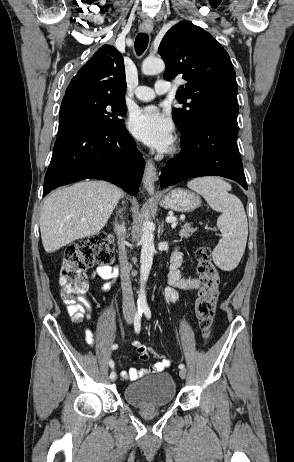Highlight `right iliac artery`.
I'll list each match as a JSON object with an SVG mask.
<instances>
[{
  "mask_svg": "<svg viewBox=\"0 0 294 462\" xmlns=\"http://www.w3.org/2000/svg\"><path fill=\"white\" fill-rule=\"evenodd\" d=\"M142 313H143V309L142 308H138L137 311H136V314H135V317H134V329H135V332L136 333H139L140 331V327H141V317H142ZM118 348V345L117 344H114L112 346V349L115 350ZM109 365L110 367L113 369L114 368V362L113 360H110L109 361ZM116 374L114 371L111 372L110 374V379H113L115 378Z\"/></svg>",
  "mask_w": 294,
  "mask_h": 462,
  "instance_id": "1",
  "label": "right iliac artery"
}]
</instances>
